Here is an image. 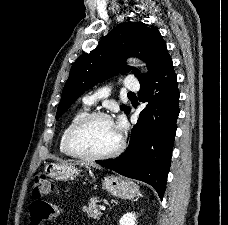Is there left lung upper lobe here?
I'll return each mask as SVG.
<instances>
[{"instance_id":"5c2ea615","label":"left lung upper lobe","mask_w":228,"mask_h":225,"mask_svg":"<svg viewBox=\"0 0 228 225\" xmlns=\"http://www.w3.org/2000/svg\"><path fill=\"white\" fill-rule=\"evenodd\" d=\"M167 53L166 43L156 27L143 22H124L102 38L99 45L89 54L81 55L73 64L70 76L64 86L56 118L60 117L71 104L87 89L113 75L128 73L132 67L124 60L128 57L142 59L148 67V74L132 73L140 83L150 78L161 66ZM125 113L129 108L121 105Z\"/></svg>"}]
</instances>
